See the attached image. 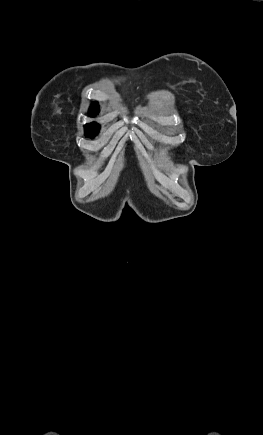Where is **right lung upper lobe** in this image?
Segmentation results:
<instances>
[{
	"label": "right lung upper lobe",
	"mask_w": 263,
	"mask_h": 435,
	"mask_svg": "<svg viewBox=\"0 0 263 435\" xmlns=\"http://www.w3.org/2000/svg\"><path fill=\"white\" fill-rule=\"evenodd\" d=\"M98 110H99V106H98V104L97 103H93L92 104V106L90 107V110H89V115L90 116H93V115H95L96 113H98ZM85 127H95V128H100L99 127V125L98 124H96V123H90V124H87Z\"/></svg>",
	"instance_id": "cb5924a9"
}]
</instances>
